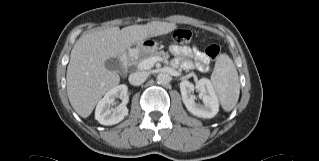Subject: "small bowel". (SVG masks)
<instances>
[{"mask_svg":"<svg viewBox=\"0 0 319 161\" xmlns=\"http://www.w3.org/2000/svg\"><path fill=\"white\" fill-rule=\"evenodd\" d=\"M170 52L175 57V64L180 65L183 70L198 69L206 72L209 69V60L197 47L173 45ZM191 59H194L193 62Z\"/></svg>","mask_w":319,"mask_h":161,"instance_id":"small-bowel-1","label":"small bowel"}]
</instances>
